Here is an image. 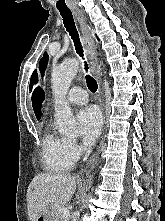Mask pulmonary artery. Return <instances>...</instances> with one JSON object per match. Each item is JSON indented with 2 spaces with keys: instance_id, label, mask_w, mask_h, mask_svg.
<instances>
[{
  "instance_id": "obj_1",
  "label": "pulmonary artery",
  "mask_w": 165,
  "mask_h": 221,
  "mask_svg": "<svg viewBox=\"0 0 165 221\" xmlns=\"http://www.w3.org/2000/svg\"><path fill=\"white\" fill-rule=\"evenodd\" d=\"M67 101L73 105H83L88 101V96L83 88L73 87L67 94Z\"/></svg>"
}]
</instances>
